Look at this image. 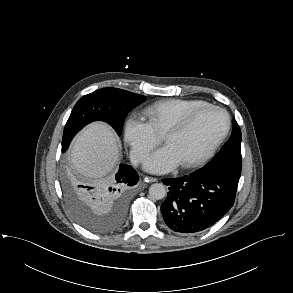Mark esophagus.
<instances>
[{
  "label": "esophagus",
  "mask_w": 293,
  "mask_h": 293,
  "mask_svg": "<svg viewBox=\"0 0 293 293\" xmlns=\"http://www.w3.org/2000/svg\"><path fill=\"white\" fill-rule=\"evenodd\" d=\"M144 180L145 181L147 180V181H150V182H156V181H158V179L155 178V177H145Z\"/></svg>",
  "instance_id": "1"
}]
</instances>
